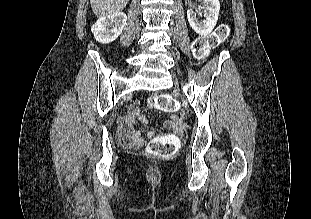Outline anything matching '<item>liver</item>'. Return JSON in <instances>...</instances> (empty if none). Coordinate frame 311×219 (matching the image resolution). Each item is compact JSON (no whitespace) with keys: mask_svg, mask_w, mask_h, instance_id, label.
Returning a JSON list of instances; mask_svg holds the SVG:
<instances>
[{"mask_svg":"<svg viewBox=\"0 0 311 219\" xmlns=\"http://www.w3.org/2000/svg\"><path fill=\"white\" fill-rule=\"evenodd\" d=\"M129 0H90V5L96 17L102 18L122 11Z\"/></svg>","mask_w":311,"mask_h":219,"instance_id":"liver-1","label":"liver"}]
</instances>
